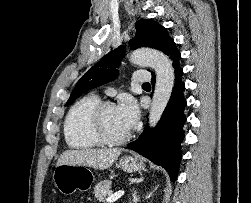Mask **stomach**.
<instances>
[{
	"instance_id": "1",
	"label": "stomach",
	"mask_w": 251,
	"mask_h": 203,
	"mask_svg": "<svg viewBox=\"0 0 251 203\" xmlns=\"http://www.w3.org/2000/svg\"><path fill=\"white\" fill-rule=\"evenodd\" d=\"M118 167L127 173L141 170L144 166L136 158L124 156L120 158ZM95 178L92 171L84 165L62 164L56 166L53 181L56 188L64 195L76 190L87 191L91 188Z\"/></svg>"
}]
</instances>
